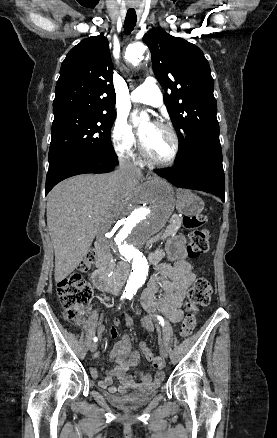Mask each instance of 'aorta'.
<instances>
[{
    "label": "aorta",
    "mask_w": 277,
    "mask_h": 438,
    "mask_svg": "<svg viewBox=\"0 0 277 438\" xmlns=\"http://www.w3.org/2000/svg\"><path fill=\"white\" fill-rule=\"evenodd\" d=\"M145 47L141 43L130 45L126 50V59L138 65L144 56ZM142 120L149 119L147 113H141ZM140 118L134 122L138 124ZM173 211V198L168 184L162 180H153L138 187L130 195L120 219L108 234L113 250L132 265L125 291L136 294L145 283L149 265L142 248L146 241L158 233Z\"/></svg>",
    "instance_id": "1"
}]
</instances>
